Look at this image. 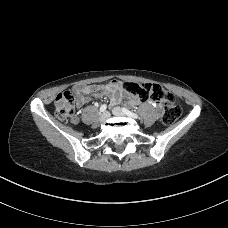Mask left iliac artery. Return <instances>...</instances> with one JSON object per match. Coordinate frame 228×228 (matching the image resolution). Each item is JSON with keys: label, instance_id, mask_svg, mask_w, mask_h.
<instances>
[{"label": "left iliac artery", "instance_id": "44dca946", "mask_svg": "<svg viewBox=\"0 0 228 228\" xmlns=\"http://www.w3.org/2000/svg\"><path fill=\"white\" fill-rule=\"evenodd\" d=\"M122 110H123V111L125 112V114L128 115L129 117H132V118H135V119L139 118V115H138V114H136V113H134V112H132V111H129V110L126 109V108H123Z\"/></svg>", "mask_w": 228, "mask_h": 228}]
</instances>
